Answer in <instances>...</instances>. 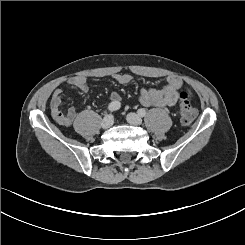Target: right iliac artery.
<instances>
[{"mask_svg":"<svg viewBox=\"0 0 245 245\" xmlns=\"http://www.w3.org/2000/svg\"><path fill=\"white\" fill-rule=\"evenodd\" d=\"M121 107L120 103L119 102H111L108 106V110L110 112H113L115 110H118L119 108Z\"/></svg>","mask_w":245,"mask_h":245,"instance_id":"right-iliac-artery-1","label":"right iliac artery"}]
</instances>
